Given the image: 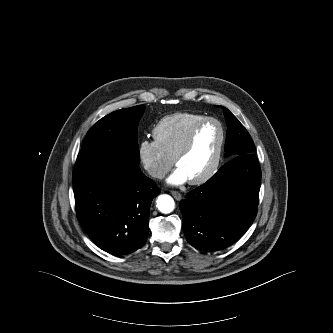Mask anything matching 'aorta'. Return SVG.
<instances>
[{
  "instance_id": "obj_1",
  "label": "aorta",
  "mask_w": 333,
  "mask_h": 333,
  "mask_svg": "<svg viewBox=\"0 0 333 333\" xmlns=\"http://www.w3.org/2000/svg\"><path fill=\"white\" fill-rule=\"evenodd\" d=\"M157 207L161 213H171L175 208V202L169 195H160L157 199Z\"/></svg>"
}]
</instances>
